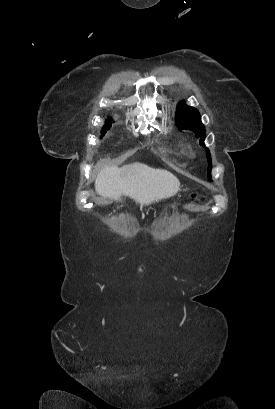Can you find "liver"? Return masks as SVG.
<instances>
[{
    "instance_id": "obj_1",
    "label": "liver",
    "mask_w": 275,
    "mask_h": 409,
    "mask_svg": "<svg viewBox=\"0 0 275 409\" xmlns=\"http://www.w3.org/2000/svg\"><path fill=\"white\" fill-rule=\"evenodd\" d=\"M180 180L169 170L151 168L142 162L124 166H104L95 178V190L100 196L120 200L130 196L140 205H151L154 200L168 198L178 192Z\"/></svg>"
}]
</instances>
